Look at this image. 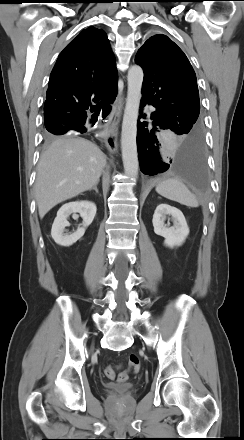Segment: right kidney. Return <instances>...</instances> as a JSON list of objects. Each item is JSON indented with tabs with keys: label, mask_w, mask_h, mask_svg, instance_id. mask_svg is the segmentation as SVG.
Returning <instances> with one entry per match:
<instances>
[{
	"label": "right kidney",
	"mask_w": 244,
	"mask_h": 440,
	"mask_svg": "<svg viewBox=\"0 0 244 440\" xmlns=\"http://www.w3.org/2000/svg\"><path fill=\"white\" fill-rule=\"evenodd\" d=\"M96 205L90 201H75L64 204L54 220L51 229L53 240L61 246L69 247L77 242L85 233L86 228L93 222L96 215ZM72 213H79L83 218L82 227L72 234H65V227L69 226L67 218Z\"/></svg>",
	"instance_id": "obj_1"
}]
</instances>
